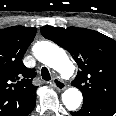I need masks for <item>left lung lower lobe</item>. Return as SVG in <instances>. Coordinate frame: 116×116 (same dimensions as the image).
<instances>
[{
	"mask_svg": "<svg viewBox=\"0 0 116 116\" xmlns=\"http://www.w3.org/2000/svg\"><path fill=\"white\" fill-rule=\"evenodd\" d=\"M116 113V102L106 99L86 98L82 108L71 112L72 116H112Z\"/></svg>",
	"mask_w": 116,
	"mask_h": 116,
	"instance_id": "1",
	"label": "left lung lower lobe"
}]
</instances>
